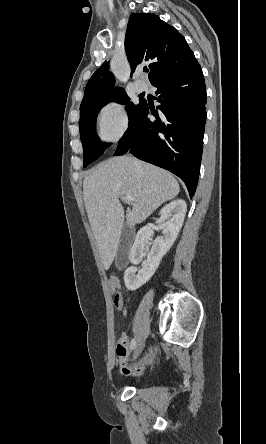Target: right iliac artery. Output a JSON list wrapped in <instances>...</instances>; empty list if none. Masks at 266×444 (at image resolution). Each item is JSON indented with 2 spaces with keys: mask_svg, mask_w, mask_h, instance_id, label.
Instances as JSON below:
<instances>
[{
  "mask_svg": "<svg viewBox=\"0 0 266 444\" xmlns=\"http://www.w3.org/2000/svg\"><path fill=\"white\" fill-rule=\"evenodd\" d=\"M136 346V340L135 338L132 339L131 343H130V350H133Z\"/></svg>",
  "mask_w": 266,
  "mask_h": 444,
  "instance_id": "82829eb1",
  "label": "right iliac artery"
}]
</instances>
